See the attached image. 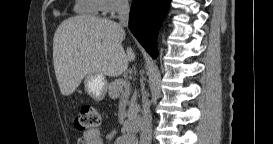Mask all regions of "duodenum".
<instances>
[{"label":"duodenum","instance_id":"410a0bca","mask_svg":"<svg viewBox=\"0 0 273 144\" xmlns=\"http://www.w3.org/2000/svg\"><path fill=\"white\" fill-rule=\"evenodd\" d=\"M124 129L129 133H136L138 130V122L136 119H127L124 122Z\"/></svg>","mask_w":273,"mask_h":144}]
</instances>
